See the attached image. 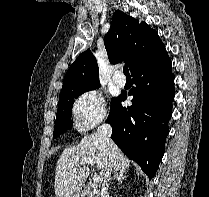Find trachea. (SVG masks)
Masks as SVG:
<instances>
[{
    "mask_svg": "<svg viewBox=\"0 0 209 197\" xmlns=\"http://www.w3.org/2000/svg\"><path fill=\"white\" fill-rule=\"evenodd\" d=\"M123 72H124V74L126 75V76H130V74H129V69H128V67L127 66H124L123 67Z\"/></svg>",
    "mask_w": 209,
    "mask_h": 197,
    "instance_id": "1",
    "label": "trachea"
}]
</instances>
